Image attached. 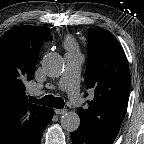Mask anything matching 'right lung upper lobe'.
<instances>
[{
  "instance_id": "right-lung-upper-lobe-1",
  "label": "right lung upper lobe",
  "mask_w": 144,
  "mask_h": 144,
  "mask_svg": "<svg viewBox=\"0 0 144 144\" xmlns=\"http://www.w3.org/2000/svg\"><path fill=\"white\" fill-rule=\"evenodd\" d=\"M45 26H17L0 38V144H28L46 122L51 108L31 104L26 81L34 76Z\"/></svg>"
}]
</instances>
